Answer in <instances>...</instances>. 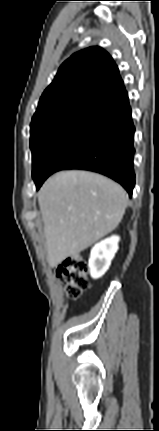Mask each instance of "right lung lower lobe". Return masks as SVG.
<instances>
[{"instance_id": "98d812e1", "label": "right lung lower lobe", "mask_w": 159, "mask_h": 431, "mask_svg": "<svg viewBox=\"0 0 159 431\" xmlns=\"http://www.w3.org/2000/svg\"><path fill=\"white\" fill-rule=\"evenodd\" d=\"M134 131L128 100L86 119L51 150L34 179L36 188L56 171L83 169L112 178L131 196L135 185Z\"/></svg>"}]
</instances>
